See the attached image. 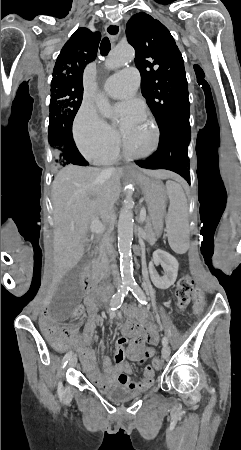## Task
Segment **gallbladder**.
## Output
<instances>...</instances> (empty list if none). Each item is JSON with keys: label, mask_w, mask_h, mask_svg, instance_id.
<instances>
[{"label": "gallbladder", "mask_w": 241, "mask_h": 450, "mask_svg": "<svg viewBox=\"0 0 241 450\" xmlns=\"http://www.w3.org/2000/svg\"><path fill=\"white\" fill-rule=\"evenodd\" d=\"M89 256H83L73 270L63 276L54 301H48V310H53V319L57 323H66L69 315H74L82 297L83 268L87 266Z\"/></svg>", "instance_id": "1"}]
</instances>
